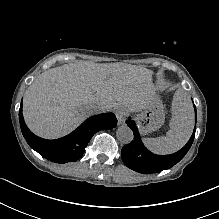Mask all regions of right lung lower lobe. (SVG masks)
Masks as SVG:
<instances>
[{
  "label": "right lung lower lobe",
  "instance_id": "98d812e1",
  "mask_svg": "<svg viewBox=\"0 0 219 219\" xmlns=\"http://www.w3.org/2000/svg\"><path fill=\"white\" fill-rule=\"evenodd\" d=\"M19 121L22 134L30 147L44 158L56 163L78 160L82 157L85 147L96 132L112 129L117 125L115 114H99L85 120L76 130L65 137L46 140L37 137L27 128L23 119L22 104L19 110Z\"/></svg>",
  "mask_w": 219,
  "mask_h": 219
}]
</instances>
